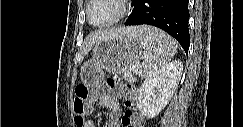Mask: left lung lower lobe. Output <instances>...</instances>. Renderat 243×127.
Instances as JSON below:
<instances>
[{
    "mask_svg": "<svg viewBox=\"0 0 243 127\" xmlns=\"http://www.w3.org/2000/svg\"><path fill=\"white\" fill-rule=\"evenodd\" d=\"M125 25L148 24L172 35L188 53V0H137Z\"/></svg>",
    "mask_w": 243,
    "mask_h": 127,
    "instance_id": "obj_1",
    "label": "left lung lower lobe"
}]
</instances>
